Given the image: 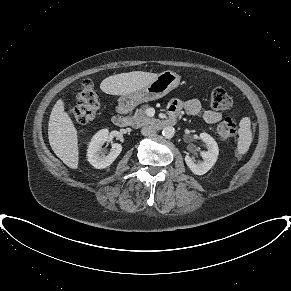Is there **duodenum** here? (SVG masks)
<instances>
[{"label": "duodenum", "mask_w": 291, "mask_h": 291, "mask_svg": "<svg viewBox=\"0 0 291 291\" xmlns=\"http://www.w3.org/2000/svg\"><path fill=\"white\" fill-rule=\"evenodd\" d=\"M127 107L125 105L121 106L118 112L113 117V123L118 127H126L129 124V119L127 116ZM175 124V118L170 117L168 119L158 122L159 127L171 126Z\"/></svg>", "instance_id": "duodenum-1"}]
</instances>
